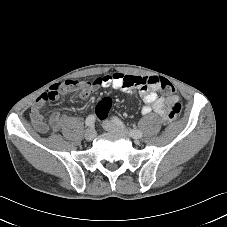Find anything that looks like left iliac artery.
I'll return each mask as SVG.
<instances>
[{"instance_id":"left-iliac-artery-1","label":"left iliac artery","mask_w":227,"mask_h":227,"mask_svg":"<svg viewBox=\"0 0 227 227\" xmlns=\"http://www.w3.org/2000/svg\"><path fill=\"white\" fill-rule=\"evenodd\" d=\"M114 122H116V124H118L119 126H121L122 128H124V124L116 117L113 118ZM130 136L133 138H141L142 137V132L140 130L137 129H133L129 131Z\"/></svg>"}]
</instances>
